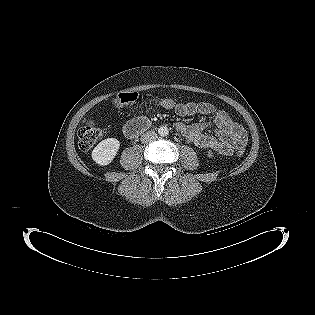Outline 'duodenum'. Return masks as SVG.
I'll list each match as a JSON object with an SVG mask.
<instances>
[{"instance_id": "1", "label": "duodenum", "mask_w": 315, "mask_h": 315, "mask_svg": "<svg viewBox=\"0 0 315 315\" xmlns=\"http://www.w3.org/2000/svg\"><path fill=\"white\" fill-rule=\"evenodd\" d=\"M150 127V122L145 118H138L128 122L124 127V134L128 138H134L146 131Z\"/></svg>"}]
</instances>
